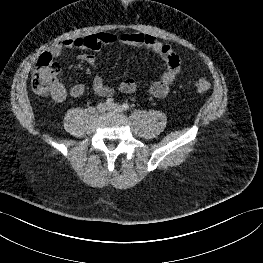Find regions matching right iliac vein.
<instances>
[{
    "label": "right iliac vein",
    "mask_w": 263,
    "mask_h": 263,
    "mask_svg": "<svg viewBox=\"0 0 263 263\" xmlns=\"http://www.w3.org/2000/svg\"><path fill=\"white\" fill-rule=\"evenodd\" d=\"M108 109L107 105L105 103H100L97 106V110L101 113L105 112Z\"/></svg>",
    "instance_id": "63e3f726"
}]
</instances>
